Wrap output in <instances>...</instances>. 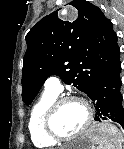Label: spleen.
Listing matches in <instances>:
<instances>
[{
	"mask_svg": "<svg viewBox=\"0 0 124 149\" xmlns=\"http://www.w3.org/2000/svg\"><path fill=\"white\" fill-rule=\"evenodd\" d=\"M119 133L115 126L105 124L93 136V141L98 144V149H122L123 138Z\"/></svg>",
	"mask_w": 124,
	"mask_h": 149,
	"instance_id": "1",
	"label": "spleen"
}]
</instances>
